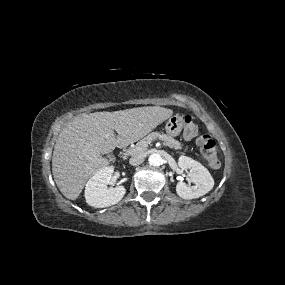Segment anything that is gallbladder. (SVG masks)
<instances>
[{
  "label": "gallbladder",
  "mask_w": 285,
  "mask_h": 285,
  "mask_svg": "<svg viewBox=\"0 0 285 285\" xmlns=\"http://www.w3.org/2000/svg\"><path fill=\"white\" fill-rule=\"evenodd\" d=\"M108 158L110 159V161L113 160V156L112 155H108Z\"/></svg>",
  "instance_id": "bac80fb5"
}]
</instances>
